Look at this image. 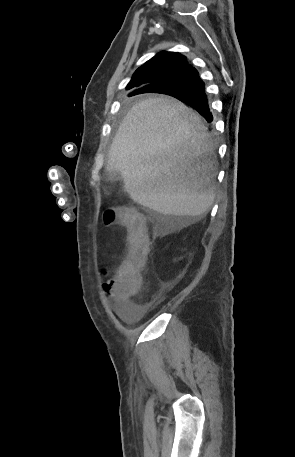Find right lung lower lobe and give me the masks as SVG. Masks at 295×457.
Wrapping results in <instances>:
<instances>
[{"label":"right lung lower lobe","mask_w":295,"mask_h":457,"mask_svg":"<svg viewBox=\"0 0 295 457\" xmlns=\"http://www.w3.org/2000/svg\"><path fill=\"white\" fill-rule=\"evenodd\" d=\"M168 89L174 90V94L171 96L189 104L202 116H204L208 122L212 121L213 117L208 107L204 83L200 79L197 70L191 65L184 67L179 75L172 80L141 88L130 95L132 96V94L137 95Z\"/></svg>","instance_id":"obj_1"}]
</instances>
